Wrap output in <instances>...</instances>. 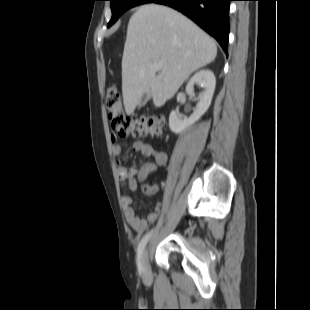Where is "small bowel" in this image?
<instances>
[{
    "instance_id": "c3829d8e",
    "label": "small bowel",
    "mask_w": 310,
    "mask_h": 310,
    "mask_svg": "<svg viewBox=\"0 0 310 310\" xmlns=\"http://www.w3.org/2000/svg\"><path fill=\"white\" fill-rule=\"evenodd\" d=\"M112 152L116 158V166L118 178L121 185L126 186L131 192H137L139 186L145 195H153L157 192V188L145 183L149 174L155 172L159 167H162L167 162V154L163 151L157 150L151 144L141 140H136L133 143V151L145 157L152 158L153 161L144 163L139 169L135 167H126L123 165L121 156V146L118 143V136L112 134ZM132 197L123 195L121 197V204L127 224L136 232L143 233L148 226L157 219V211L149 212L146 218H140L136 215L132 208Z\"/></svg>"
}]
</instances>
